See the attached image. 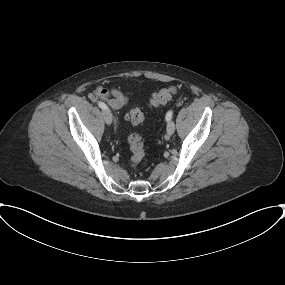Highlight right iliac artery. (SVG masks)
<instances>
[{"label": "right iliac artery", "mask_w": 285, "mask_h": 285, "mask_svg": "<svg viewBox=\"0 0 285 285\" xmlns=\"http://www.w3.org/2000/svg\"><path fill=\"white\" fill-rule=\"evenodd\" d=\"M98 106L102 109H108L107 106L103 102H98Z\"/></svg>", "instance_id": "82829eb1"}]
</instances>
